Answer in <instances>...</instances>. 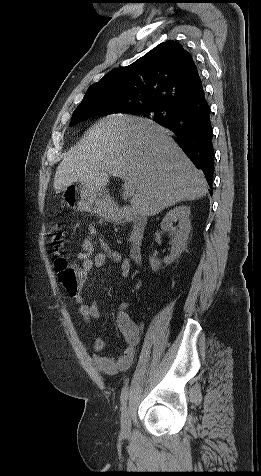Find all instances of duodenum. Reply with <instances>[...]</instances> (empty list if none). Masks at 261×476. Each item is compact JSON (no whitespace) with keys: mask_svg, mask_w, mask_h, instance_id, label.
Listing matches in <instances>:
<instances>
[{"mask_svg":"<svg viewBox=\"0 0 261 476\" xmlns=\"http://www.w3.org/2000/svg\"><path fill=\"white\" fill-rule=\"evenodd\" d=\"M113 221L117 223H132L133 237L130 245L131 259L140 264L143 259L144 235L147 227V219L140 214L131 212L124 208L117 209L112 215Z\"/></svg>","mask_w":261,"mask_h":476,"instance_id":"obj_1","label":"duodenum"}]
</instances>
